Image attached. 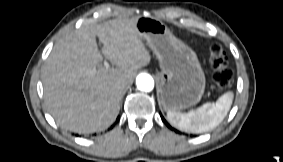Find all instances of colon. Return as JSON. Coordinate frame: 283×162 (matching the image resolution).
<instances>
[{
	"instance_id": "obj_1",
	"label": "colon",
	"mask_w": 283,
	"mask_h": 162,
	"mask_svg": "<svg viewBox=\"0 0 283 162\" xmlns=\"http://www.w3.org/2000/svg\"><path fill=\"white\" fill-rule=\"evenodd\" d=\"M227 60L226 51L219 44H213L210 48V61L215 70L213 79L219 91L227 88L233 77V72L227 67Z\"/></svg>"
}]
</instances>
